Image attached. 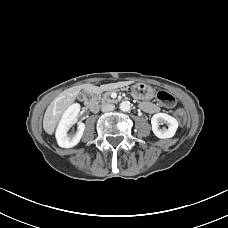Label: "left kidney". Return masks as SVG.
Returning a JSON list of instances; mask_svg holds the SVG:
<instances>
[{"label": "left kidney", "mask_w": 228, "mask_h": 228, "mask_svg": "<svg viewBox=\"0 0 228 228\" xmlns=\"http://www.w3.org/2000/svg\"><path fill=\"white\" fill-rule=\"evenodd\" d=\"M161 123H167L168 128H159ZM152 131L154 135L161 139L171 138L175 135L178 128V121L166 114V113H157L151 118Z\"/></svg>", "instance_id": "left-kidney-1"}]
</instances>
